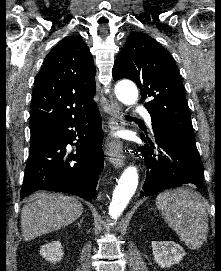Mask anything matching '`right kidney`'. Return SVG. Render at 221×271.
Returning <instances> with one entry per match:
<instances>
[{
  "label": "right kidney",
  "mask_w": 221,
  "mask_h": 271,
  "mask_svg": "<svg viewBox=\"0 0 221 271\" xmlns=\"http://www.w3.org/2000/svg\"><path fill=\"white\" fill-rule=\"evenodd\" d=\"M40 255L46 261H51V263L60 261L63 257V245H61V241H49V243H45L40 249Z\"/></svg>",
  "instance_id": "ca27d5eb"
}]
</instances>
